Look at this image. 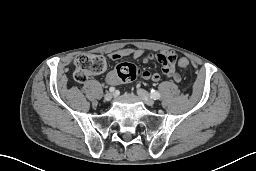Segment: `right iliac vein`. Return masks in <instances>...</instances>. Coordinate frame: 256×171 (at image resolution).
Here are the masks:
<instances>
[{
  "label": "right iliac vein",
  "mask_w": 256,
  "mask_h": 171,
  "mask_svg": "<svg viewBox=\"0 0 256 171\" xmlns=\"http://www.w3.org/2000/svg\"><path fill=\"white\" fill-rule=\"evenodd\" d=\"M111 99H112V93L107 92V93L104 95V101L109 102V101H111Z\"/></svg>",
  "instance_id": "1"
}]
</instances>
